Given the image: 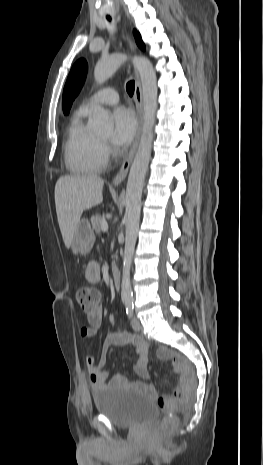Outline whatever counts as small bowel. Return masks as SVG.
I'll return each instance as SVG.
<instances>
[{
  "label": "small bowel",
  "instance_id": "c3829d8e",
  "mask_svg": "<svg viewBox=\"0 0 263 465\" xmlns=\"http://www.w3.org/2000/svg\"><path fill=\"white\" fill-rule=\"evenodd\" d=\"M85 276L89 283H98L101 277L99 264L95 261L89 262L85 270ZM87 321L88 326L83 327L80 331V334L84 339H91L96 335L97 330L102 325V307L98 306L95 311L88 313ZM127 343H132L134 345L138 355V360L134 367L136 374L142 378L147 377V357L149 351L148 343L143 338L131 333L112 334L107 336L102 344L100 361L98 363L92 355H87L85 358V363L88 369L91 383L95 388H102L106 385L114 387H127L134 385L156 396V390L152 385H147L142 382H131L121 375H115L110 381H108V372L106 370L108 351L111 347L120 346Z\"/></svg>",
  "mask_w": 263,
  "mask_h": 465
}]
</instances>
